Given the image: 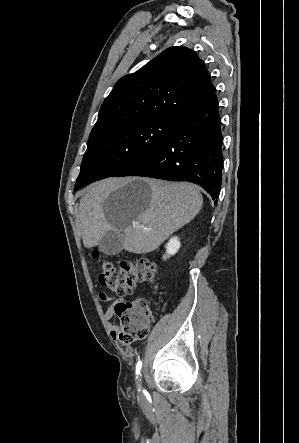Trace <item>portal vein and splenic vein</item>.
I'll list each match as a JSON object with an SVG mask.
<instances>
[{"instance_id":"portal-vein-and-splenic-vein-1","label":"portal vein and splenic vein","mask_w":299,"mask_h":443,"mask_svg":"<svg viewBox=\"0 0 299 443\" xmlns=\"http://www.w3.org/2000/svg\"><path fill=\"white\" fill-rule=\"evenodd\" d=\"M133 226L138 228L140 226V223L139 222H133Z\"/></svg>"}]
</instances>
